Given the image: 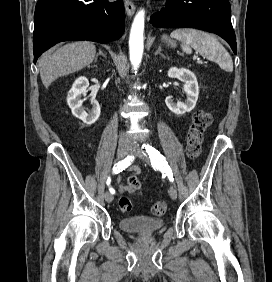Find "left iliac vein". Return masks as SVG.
Returning <instances> with one entry per match:
<instances>
[{
  "label": "left iliac vein",
  "instance_id": "obj_1",
  "mask_svg": "<svg viewBox=\"0 0 272 282\" xmlns=\"http://www.w3.org/2000/svg\"><path fill=\"white\" fill-rule=\"evenodd\" d=\"M130 152L134 153L137 157L141 158L142 160L146 162L148 161L146 152L142 150V148L134 141L130 142ZM168 193L172 199L175 200L177 198V190L174 186H170Z\"/></svg>",
  "mask_w": 272,
  "mask_h": 282
}]
</instances>
